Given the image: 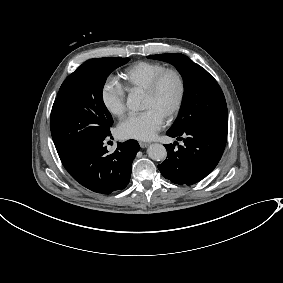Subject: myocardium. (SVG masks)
<instances>
[{
	"mask_svg": "<svg viewBox=\"0 0 283 283\" xmlns=\"http://www.w3.org/2000/svg\"><path fill=\"white\" fill-rule=\"evenodd\" d=\"M168 75H173L178 83V92L176 95V99L165 115V117L171 118L180 110L185 95V80L182 73L178 69H164L152 79V81L147 85L143 92L147 95L156 94L161 86V83Z\"/></svg>",
	"mask_w": 283,
	"mask_h": 283,
	"instance_id": "obj_1",
	"label": "myocardium"
}]
</instances>
